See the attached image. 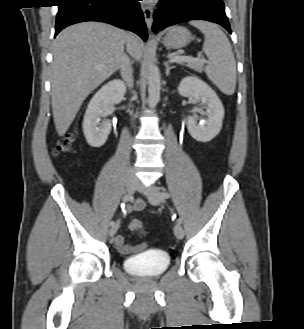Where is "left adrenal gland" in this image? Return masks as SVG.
<instances>
[{
    "mask_svg": "<svg viewBox=\"0 0 304 329\" xmlns=\"http://www.w3.org/2000/svg\"><path fill=\"white\" fill-rule=\"evenodd\" d=\"M164 66H165V68H166V69H165V74H166V76L169 75L171 69L175 68V66H170L168 62H164Z\"/></svg>",
    "mask_w": 304,
    "mask_h": 329,
    "instance_id": "left-adrenal-gland-1",
    "label": "left adrenal gland"
}]
</instances>
